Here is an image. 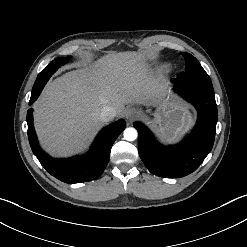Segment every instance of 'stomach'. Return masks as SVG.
Listing matches in <instances>:
<instances>
[{"instance_id":"stomach-1","label":"stomach","mask_w":247,"mask_h":247,"mask_svg":"<svg viewBox=\"0 0 247 247\" xmlns=\"http://www.w3.org/2000/svg\"><path fill=\"white\" fill-rule=\"evenodd\" d=\"M158 103L154 118L147 119V123L161 139L167 142L179 141L193 124L188 107L179 101L170 102L162 96Z\"/></svg>"}]
</instances>
